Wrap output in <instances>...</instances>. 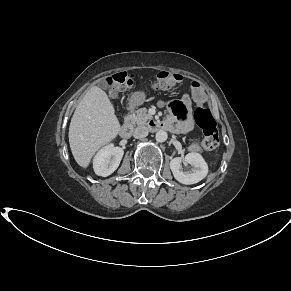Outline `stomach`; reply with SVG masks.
Masks as SVG:
<instances>
[{"label": "stomach", "mask_w": 291, "mask_h": 291, "mask_svg": "<svg viewBox=\"0 0 291 291\" xmlns=\"http://www.w3.org/2000/svg\"><path fill=\"white\" fill-rule=\"evenodd\" d=\"M146 95L142 91L134 92L130 97V103L134 106H139L144 103Z\"/></svg>", "instance_id": "0dacf381"}]
</instances>
